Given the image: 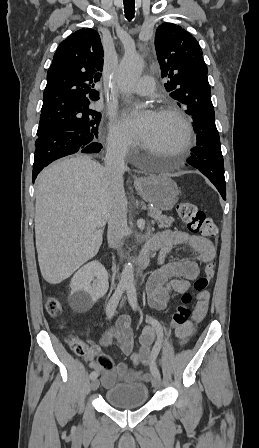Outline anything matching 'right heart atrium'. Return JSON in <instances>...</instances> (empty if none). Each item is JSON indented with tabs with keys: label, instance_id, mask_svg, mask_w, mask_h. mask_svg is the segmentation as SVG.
<instances>
[{
	"label": "right heart atrium",
	"instance_id": "obj_1",
	"mask_svg": "<svg viewBox=\"0 0 259 448\" xmlns=\"http://www.w3.org/2000/svg\"><path fill=\"white\" fill-rule=\"evenodd\" d=\"M135 145L133 137L115 119H112L106 136L107 149L126 157Z\"/></svg>",
	"mask_w": 259,
	"mask_h": 448
}]
</instances>
